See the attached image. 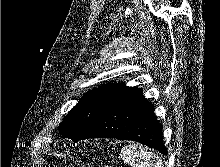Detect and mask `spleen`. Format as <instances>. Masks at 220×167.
<instances>
[{
  "label": "spleen",
  "instance_id": "spleen-1",
  "mask_svg": "<svg viewBox=\"0 0 220 167\" xmlns=\"http://www.w3.org/2000/svg\"><path fill=\"white\" fill-rule=\"evenodd\" d=\"M122 160L131 167H163V162L158 154L148 148L129 144L121 150Z\"/></svg>",
  "mask_w": 220,
  "mask_h": 167
}]
</instances>
